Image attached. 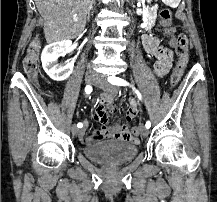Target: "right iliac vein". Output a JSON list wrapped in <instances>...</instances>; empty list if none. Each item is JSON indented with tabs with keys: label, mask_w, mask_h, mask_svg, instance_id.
<instances>
[{
	"label": "right iliac vein",
	"mask_w": 217,
	"mask_h": 202,
	"mask_svg": "<svg viewBox=\"0 0 217 202\" xmlns=\"http://www.w3.org/2000/svg\"><path fill=\"white\" fill-rule=\"evenodd\" d=\"M85 81L87 84H93L96 81V76L93 73H87L85 75ZM71 131L73 135H79L80 131L78 130L77 126L73 124L71 126Z\"/></svg>",
	"instance_id": "right-iliac-vein-1"
}]
</instances>
